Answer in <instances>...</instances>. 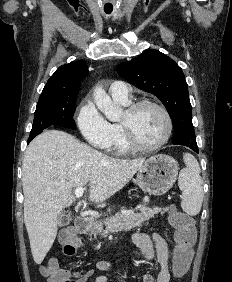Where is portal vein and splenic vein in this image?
I'll return each instance as SVG.
<instances>
[{"mask_svg":"<svg viewBox=\"0 0 232 282\" xmlns=\"http://www.w3.org/2000/svg\"><path fill=\"white\" fill-rule=\"evenodd\" d=\"M83 193H84L83 187H77L75 189V192H74L76 198H81L83 196ZM139 207H141V206H139Z\"/></svg>","mask_w":232,"mask_h":282,"instance_id":"18ae733b","label":"portal vein and splenic vein"}]
</instances>
